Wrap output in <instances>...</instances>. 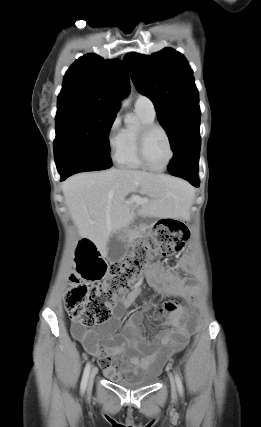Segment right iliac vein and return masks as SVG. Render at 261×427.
I'll list each match as a JSON object with an SVG mask.
<instances>
[{"mask_svg":"<svg viewBox=\"0 0 261 427\" xmlns=\"http://www.w3.org/2000/svg\"><path fill=\"white\" fill-rule=\"evenodd\" d=\"M97 372H98V369L96 367H93L92 370H91V372H90V375L88 377V381H87V383H88V389L92 388L93 382H94V378H95Z\"/></svg>","mask_w":261,"mask_h":427,"instance_id":"obj_1","label":"right iliac vein"}]
</instances>
